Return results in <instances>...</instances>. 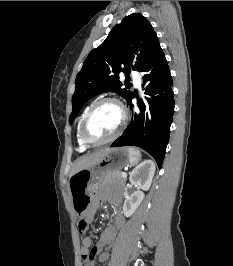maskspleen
Masks as SVG:
<instances>
[{
    "label": "spleen",
    "instance_id": "obj_1",
    "mask_svg": "<svg viewBox=\"0 0 233 266\" xmlns=\"http://www.w3.org/2000/svg\"><path fill=\"white\" fill-rule=\"evenodd\" d=\"M127 150L131 156L133 164L138 163L139 160L141 159L140 151L138 149L133 148V147H129Z\"/></svg>",
    "mask_w": 233,
    "mask_h": 266
}]
</instances>
